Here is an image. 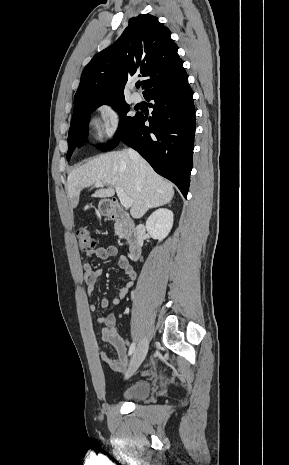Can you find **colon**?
Returning <instances> with one entry per match:
<instances>
[{
    "instance_id": "colon-1",
    "label": "colon",
    "mask_w": 289,
    "mask_h": 465,
    "mask_svg": "<svg viewBox=\"0 0 289 465\" xmlns=\"http://www.w3.org/2000/svg\"><path fill=\"white\" fill-rule=\"evenodd\" d=\"M76 236L78 246L81 251H90L95 249L96 243L89 228L80 227L76 232Z\"/></svg>"
}]
</instances>
